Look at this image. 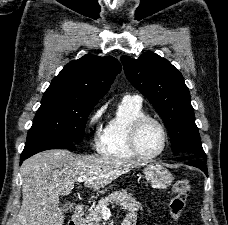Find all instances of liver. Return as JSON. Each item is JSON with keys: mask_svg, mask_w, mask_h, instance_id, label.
I'll list each match as a JSON object with an SVG mask.
<instances>
[{"mask_svg": "<svg viewBox=\"0 0 228 225\" xmlns=\"http://www.w3.org/2000/svg\"><path fill=\"white\" fill-rule=\"evenodd\" d=\"M141 167L129 159L74 155L66 149H52L26 159L21 167L22 207L16 225H64L60 195H69L78 177H88L85 187L103 189L112 181Z\"/></svg>", "mask_w": 228, "mask_h": 225, "instance_id": "6515ba94", "label": "liver"}]
</instances>
